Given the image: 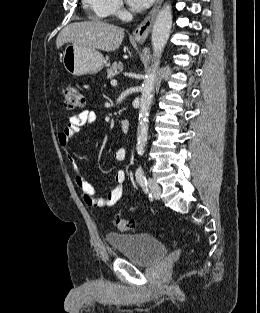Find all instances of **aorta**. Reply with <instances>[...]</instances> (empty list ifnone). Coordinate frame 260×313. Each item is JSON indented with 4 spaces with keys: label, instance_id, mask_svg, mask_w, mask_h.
Instances as JSON below:
<instances>
[{
    "label": "aorta",
    "instance_id": "762f6f07",
    "mask_svg": "<svg viewBox=\"0 0 260 313\" xmlns=\"http://www.w3.org/2000/svg\"><path fill=\"white\" fill-rule=\"evenodd\" d=\"M172 27V9L170 4H166L157 14L152 29V47L154 65L147 74L142 87L139 110V126L137 132L136 151L139 155L144 153V148L148 138V117L150 112L151 101L156 81V71L160 64V58L165 45L169 39Z\"/></svg>",
    "mask_w": 260,
    "mask_h": 313
}]
</instances>
